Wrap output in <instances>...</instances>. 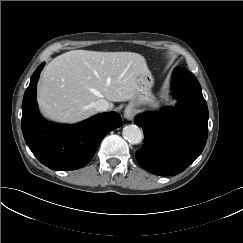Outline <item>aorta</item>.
I'll return each instance as SVG.
<instances>
[{
    "mask_svg": "<svg viewBox=\"0 0 243 243\" xmlns=\"http://www.w3.org/2000/svg\"><path fill=\"white\" fill-rule=\"evenodd\" d=\"M123 136L131 144H139L142 140V131L136 125H127L123 128Z\"/></svg>",
    "mask_w": 243,
    "mask_h": 243,
    "instance_id": "aorta-1",
    "label": "aorta"
}]
</instances>
